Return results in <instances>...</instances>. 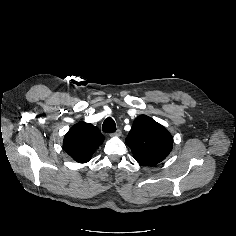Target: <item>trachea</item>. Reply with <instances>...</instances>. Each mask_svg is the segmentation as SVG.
Instances as JSON below:
<instances>
[{"mask_svg": "<svg viewBox=\"0 0 236 236\" xmlns=\"http://www.w3.org/2000/svg\"><path fill=\"white\" fill-rule=\"evenodd\" d=\"M102 130L105 133H113L116 131V124L111 117L105 119L102 125Z\"/></svg>", "mask_w": 236, "mask_h": 236, "instance_id": "3493384b", "label": "trachea"}]
</instances>
